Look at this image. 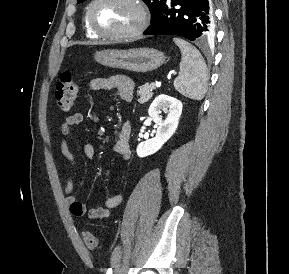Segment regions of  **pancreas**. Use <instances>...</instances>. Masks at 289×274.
Returning a JSON list of instances; mask_svg holds the SVG:
<instances>
[{
	"mask_svg": "<svg viewBox=\"0 0 289 274\" xmlns=\"http://www.w3.org/2000/svg\"><path fill=\"white\" fill-rule=\"evenodd\" d=\"M153 88L149 83H145L144 85L140 86L137 90V95L139 97L138 102L143 104L147 102L153 95Z\"/></svg>",
	"mask_w": 289,
	"mask_h": 274,
	"instance_id": "pancreas-1",
	"label": "pancreas"
}]
</instances>
